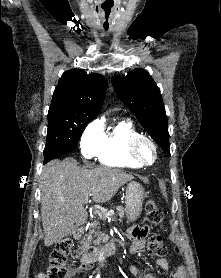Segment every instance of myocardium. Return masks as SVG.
<instances>
[{
    "mask_svg": "<svg viewBox=\"0 0 221 278\" xmlns=\"http://www.w3.org/2000/svg\"><path fill=\"white\" fill-rule=\"evenodd\" d=\"M143 142H147L148 144H150L154 150V158L152 161L144 160L139 153L140 145ZM127 154L137 164L141 166H151L158 159V146L151 137L143 134H138L129 141L127 145Z\"/></svg>",
    "mask_w": 221,
    "mask_h": 278,
    "instance_id": "1",
    "label": "myocardium"
}]
</instances>
